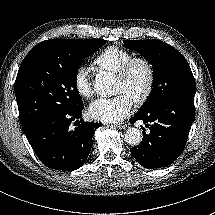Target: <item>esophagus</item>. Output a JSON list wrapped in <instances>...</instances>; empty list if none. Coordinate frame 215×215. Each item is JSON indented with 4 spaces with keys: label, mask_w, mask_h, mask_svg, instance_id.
I'll return each instance as SVG.
<instances>
[{
    "label": "esophagus",
    "mask_w": 215,
    "mask_h": 215,
    "mask_svg": "<svg viewBox=\"0 0 215 215\" xmlns=\"http://www.w3.org/2000/svg\"><path fill=\"white\" fill-rule=\"evenodd\" d=\"M118 129H125L127 128V124L125 122L119 123L115 125Z\"/></svg>",
    "instance_id": "esophagus-1"
}]
</instances>
